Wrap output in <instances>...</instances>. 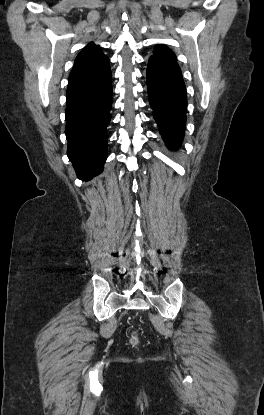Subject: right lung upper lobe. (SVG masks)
Instances as JSON below:
<instances>
[{"label":"right lung upper lobe","instance_id":"cb5924a9","mask_svg":"<svg viewBox=\"0 0 264 415\" xmlns=\"http://www.w3.org/2000/svg\"><path fill=\"white\" fill-rule=\"evenodd\" d=\"M109 70V58L103 54L100 46L90 43L76 57L68 81L94 78Z\"/></svg>","mask_w":264,"mask_h":415}]
</instances>
